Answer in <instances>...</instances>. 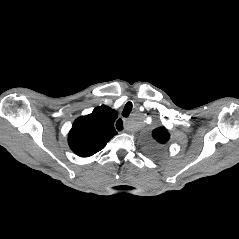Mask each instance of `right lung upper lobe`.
I'll list each match as a JSON object with an SVG mask.
<instances>
[{
  "label": "right lung upper lobe",
  "mask_w": 239,
  "mask_h": 239,
  "mask_svg": "<svg viewBox=\"0 0 239 239\" xmlns=\"http://www.w3.org/2000/svg\"><path fill=\"white\" fill-rule=\"evenodd\" d=\"M118 114L110 107H96L89 115L78 118L69 133L70 148L81 157H89L102 150L117 134L114 122Z\"/></svg>",
  "instance_id": "right-lung-upper-lobe-1"
}]
</instances>
